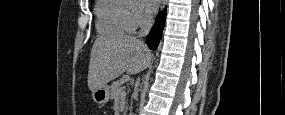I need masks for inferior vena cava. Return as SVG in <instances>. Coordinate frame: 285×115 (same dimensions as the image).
<instances>
[{"label":"inferior vena cava","instance_id":"602c4592","mask_svg":"<svg viewBox=\"0 0 285 115\" xmlns=\"http://www.w3.org/2000/svg\"><path fill=\"white\" fill-rule=\"evenodd\" d=\"M152 17H146L141 23V30L139 32V37L146 36L151 29L152 26Z\"/></svg>","mask_w":285,"mask_h":115}]
</instances>
